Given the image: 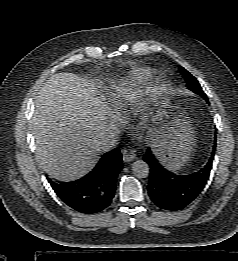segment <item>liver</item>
Returning <instances> with one entry per match:
<instances>
[{
  "mask_svg": "<svg viewBox=\"0 0 238 261\" xmlns=\"http://www.w3.org/2000/svg\"><path fill=\"white\" fill-rule=\"evenodd\" d=\"M104 101L92 81L72 73L55 74L41 87L31 128L36 159L49 176L72 181L96 165L111 113Z\"/></svg>",
  "mask_w": 238,
  "mask_h": 261,
  "instance_id": "1",
  "label": "liver"
}]
</instances>
